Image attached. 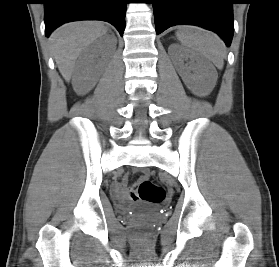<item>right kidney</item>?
Masks as SVG:
<instances>
[{
	"instance_id": "obj_1",
	"label": "right kidney",
	"mask_w": 279,
	"mask_h": 267,
	"mask_svg": "<svg viewBox=\"0 0 279 267\" xmlns=\"http://www.w3.org/2000/svg\"><path fill=\"white\" fill-rule=\"evenodd\" d=\"M112 43H116V38L113 36L111 38ZM100 45L93 44L85 50L77 68V80L79 81V86L77 92L79 94H84L88 91V79L90 73L95 70L94 58L97 57Z\"/></svg>"
}]
</instances>
